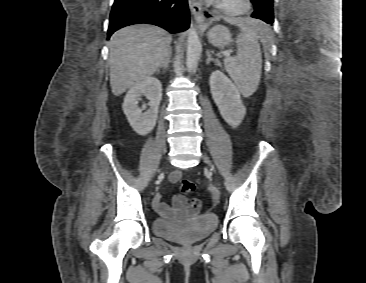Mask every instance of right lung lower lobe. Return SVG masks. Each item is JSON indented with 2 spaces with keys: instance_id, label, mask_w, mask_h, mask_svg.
I'll use <instances>...</instances> for the list:
<instances>
[{
  "instance_id": "98d812e1",
  "label": "right lung lower lobe",
  "mask_w": 366,
  "mask_h": 283,
  "mask_svg": "<svg viewBox=\"0 0 366 283\" xmlns=\"http://www.w3.org/2000/svg\"><path fill=\"white\" fill-rule=\"evenodd\" d=\"M107 37L118 29L140 23L160 26L171 33L189 27L187 0H114Z\"/></svg>"
}]
</instances>
